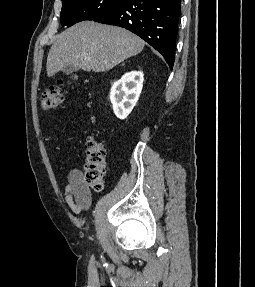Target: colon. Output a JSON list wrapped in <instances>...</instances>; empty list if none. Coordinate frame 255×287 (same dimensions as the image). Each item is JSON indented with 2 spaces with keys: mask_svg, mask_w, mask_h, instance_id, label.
Returning <instances> with one entry per match:
<instances>
[{
  "mask_svg": "<svg viewBox=\"0 0 255 287\" xmlns=\"http://www.w3.org/2000/svg\"><path fill=\"white\" fill-rule=\"evenodd\" d=\"M66 90L61 82L46 89L41 96V107L44 111L57 108L64 100ZM106 172V150L101 142L89 138L85 147L84 180L96 191L103 188Z\"/></svg>",
  "mask_w": 255,
  "mask_h": 287,
  "instance_id": "1",
  "label": "colon"
}]
</instances>
